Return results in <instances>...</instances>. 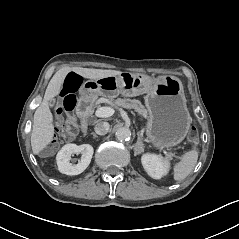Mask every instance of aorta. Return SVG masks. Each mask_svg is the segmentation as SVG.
Instances as JSON below:
<instances>
[{
  "label": "aorta",
  "instance_id": "762f6f07",
  "mask_svg": "<svg viewBox=\"0 0 239 239\" xmlns=\"http://www.w3.org/2000/svg\"><path fill=\"white\" fill-rule=\"evenodd\" d=\"M115 137L120 142H126L131 138V131L126 127L119 128L115 132Z\"/></svg>",
  "mask_w": 239,
  "mask_h": 239
}]
</instances>
